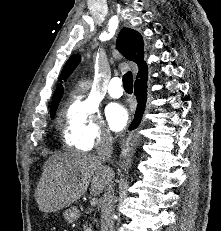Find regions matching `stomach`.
Masks as SVG:
<instances>
[{"label":"stomach","mask_w":221,"mask_h":231,"mask_svg":"<svg viewBox=\"0 0 221 231\" xmlns=\"http://www.w3.org/2000/svg\"><path fill=\"white\" fill-rule=\"evenodd\" d=\"M63 216L67 222L72 223L78 217L77 209L74 207L69 208L63 212Z\"/></svg>","instance_id":"obj_1"}]
</instances>
